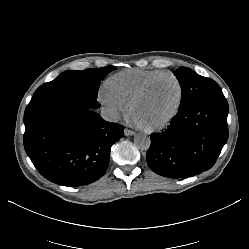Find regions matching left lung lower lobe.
<instances>
[{
    "instance_id": "obj_1",
    "label": "left lung lower lobe",
    "mask_w": 249,
    "mask_h": 249,
    "mask_svg": "<svg viewBox=\"0 0 249 249\" xmlns=\"http://www.w3.org/2000/svg\"><path fill=\"white\" fill-rule=\"evenodd\" d=\"M228 112L224 95L179 109L163 132L151 135L149 167L169 178H187L210 169L228 139Z\"/></svg>"
}]
</instances>
